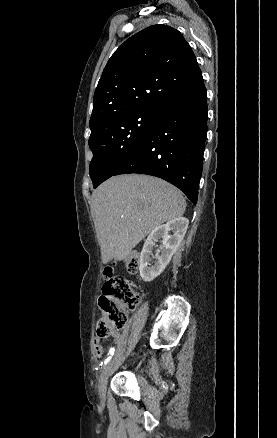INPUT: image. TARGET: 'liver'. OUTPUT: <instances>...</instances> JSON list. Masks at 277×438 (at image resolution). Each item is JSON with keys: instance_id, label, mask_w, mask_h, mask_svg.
<instances>
[{"instance_id": "6515ba94", "label": "liver", "mask_w": 277, "mask_h": 438, "mask_svg": "<svg viewBox=\"0 0 277 438\" xmlns=\"http://www.w3.org/2000/svg\"><path fill=\"white\" fill-rule=\"evenodd\" d=\"M94 218L103 264L125 260L157 226L183 216L182 192L153 176H113L92 192Z\"/></svg>"}]
</instances>
